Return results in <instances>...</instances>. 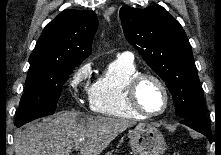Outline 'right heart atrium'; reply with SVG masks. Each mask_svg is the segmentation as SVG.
I'll list each match as a JSON object with an SVG mask.
<instances>
[{"label":"right heart atrium","instance_id":"1","mask_svg":"<svg viewBox=\"0 0 221 155\" xmlns=\"http://www.w3.org/2000/svg\"><path fill=\"white\" fill-rule=\"evenodd\" d=\"M90 73L91 64L88 62L80 65L73 71L69 79V86L76 97H78L79 92L88 97L90 96L91 85L88 82Z\"/></svg>","mask_w":221,"mask_h":155}]
</instances>
